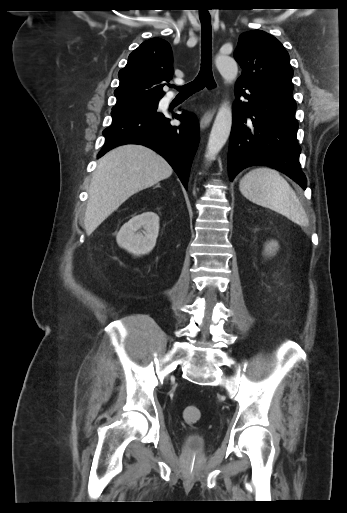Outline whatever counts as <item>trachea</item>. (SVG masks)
I'll return each instance as SVG.
<instances>
[{"mask_svg":"<svg viewBox=\"0 0 347 513\" xmlns=\"http://www.w3.org/2000/svg\"><path fill=\"white\" fill-rule=\"evenodd\" d=\"M202 27V58L201 68L198 76L194 81L179 87V93L184 95H192L193 93L203 89L205 86L212 89L216 86L212 74L211 67V38L212 28L211 19L201 20ZM170 87H173L170 85Z\"/></svg>","mask_w":347,"mask_h":513,"instance_id":"obj_1","label":"trachea"}]
</instances>
